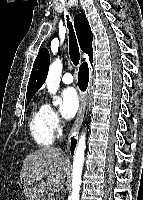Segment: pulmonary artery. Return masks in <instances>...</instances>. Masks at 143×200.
<instances>
[{"instance_id": "e3ab8cb5", "label": "pulmonary artery", "mask_w": 143, "mask_h": 200, "mask_svg": "<svg viewBox=\"0 0 143 200\" xmlns=\"http://www.w3.org/2000/svg\"><path fill=\"white\" fill-rule=\"evenodd\" d=\"M62 82L64 84H71L73 82V76L71 73H66L62 77Z\"/></svg>"}]
</instances>
